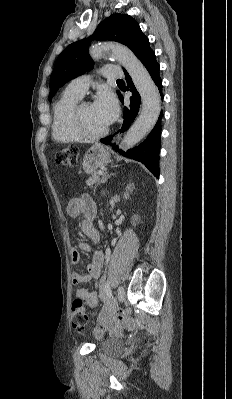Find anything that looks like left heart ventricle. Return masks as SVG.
<instances>
[{
  "label": "left heart ventricle",
  "instance_id": "1",
  "mask_svg": "<svg viewBox=\"0 0 232 399\" xmlns=\"http://www.w3.org/2000/svg\"><path fill=\"white\" fill-rule=\"evenodd\" d=\"M82 126L90 134H100L109 127L93 112L92 107H84L81 111Z\"/></svg>",
  "mask_w": 232,
  "mask_h": 399
}]
</instances>
